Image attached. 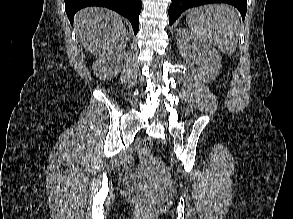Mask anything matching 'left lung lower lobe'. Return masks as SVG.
Here are the masks:
<instances>
[{"instance_id":"1","label":"left lung lower lobe","mask_w":293,"mask_h":219,"mask_svg":"<svg viewBox=\"0 0 293 219\" xmlns=\"http://www.w3.org/2000/svg\"><path fill=\"white\" fill-rule=\"evenodd\" d=\"M208 3H228L236 7L244 20L247 10V0H172L169 7V24L180 16V14L188 8L208 4Z\"/></svg>"}]
</instances>
